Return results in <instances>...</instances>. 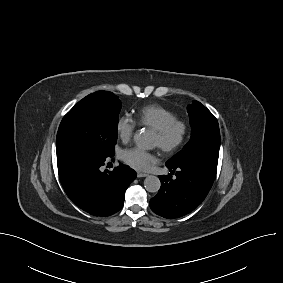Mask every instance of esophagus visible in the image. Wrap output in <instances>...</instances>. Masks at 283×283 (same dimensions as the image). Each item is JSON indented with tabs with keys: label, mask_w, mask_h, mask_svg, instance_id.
I'll return each instance as SVG.
<instances>
[{
	"label": "esophagus",
	"mask_w": 283,
	"mask_h": 283,
	"mask_svg": "<svg viewBox=\"0 0 283 283\" xmlns=\"http://www.w3.org/2000/svg\"><path fill=\"white\" fill-rule=\"evenodd\" d=\"M147 176H148V174H146V173H142V172L137 173L138 178L147 177Z\"/></svg>",
	"instance_id": "obj_1"
}]
</instances>
